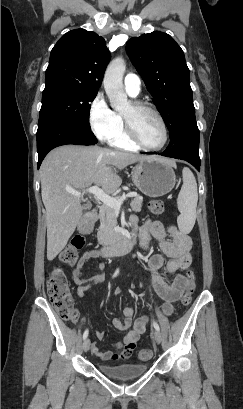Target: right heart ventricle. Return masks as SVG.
Segmentation results:
<instances>
[{"label":"right heart ventricle","instance_id":"obj_1","mask_svg":"<svg viewBox=\"0 0 243 409\" xmlns=\"http://www.w3.org/2000/svg\"><path fill=\"white\" fill-rule=\"evenodd\" d=\"M111 142L115 147L124 150L133 151L137 148V146L129 140L126 131L123 128L121 129L117 137Z\"/></svg>","mask_w":243,"mask_h":409}]
</instances>
